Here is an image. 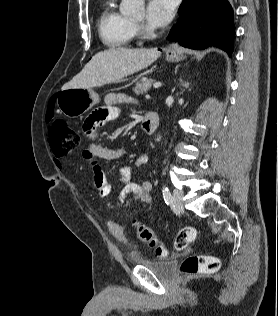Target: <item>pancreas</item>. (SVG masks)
I'll list each match as a JSON object with an SVG mask.
<instances>
[{
	"mask_svg": "<svg viewBox=\"0 0 278 316\" xmlns=\"http://www.w3.org/2000/svg\"><path fill=\"white\" fill-rule=\"evenodd\" d=\"M153 83L154 80L152 79H147L146 77L142 78L136 83V87L134 88L135 94L140 95L147 93Z\"/></svg>",
	"mask_w": 278,
	"mask_h": 316,
	"instance_id": "obj_1",
	"label": "pancreas"
}]
</instances>
